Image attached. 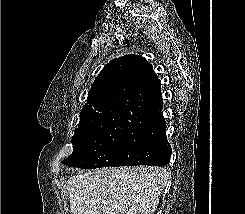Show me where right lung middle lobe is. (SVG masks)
I'll return each mask as SVG.
<instances>
[{
    "label": "right lung middle lobe",
    "mask_w": 245,
    "mask_h": 214,
    "mask_svg": "<svg viewBox=\"0 0 245 214\" xmlns=\"http://www.w3.org/2000/svg\"><path fill=\"white\" fill-rule=\"evenodd\" d=\"M128 137V128H116L105 133L74 134L73 152L62 163L69 167L94 169L117 166V147Z\"/></svg>",
    "instance_id": "1"
}]
</instances>
